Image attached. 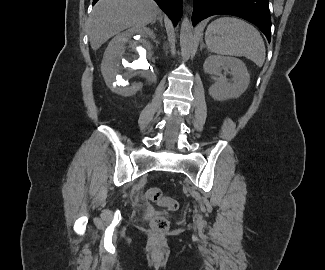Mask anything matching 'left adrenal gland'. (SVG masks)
<instances>
[{"label": "left adrenal gland", "mask_w": 325, "mask_h": 270, "mask_svg": "<svg viewBox=\"0 0 325 270\" xmlns=\"http://www.w3.org/2000/svg\"><path fill=\"white\" fill-rule=\"evenodd\" d=\"M205 47H206V46H205L204 42L201 41L200 49H203V48H205Z\"/></svg>", "instance_id": "a2214340"}]
</instances>
